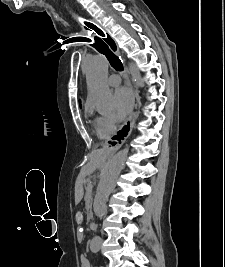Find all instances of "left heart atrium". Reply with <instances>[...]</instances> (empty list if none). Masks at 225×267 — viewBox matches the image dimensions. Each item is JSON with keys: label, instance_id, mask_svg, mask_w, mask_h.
<instances>
[{"label": "left heart atrium", "instance_id": "1", "mask_svg": "<svg viewBox=\"0 0 225 267\" xmlns=\"http://www.w3.org/2000/svg\"><path fill=\"white\" fill-rule=\"evenodd\" d=\"M115 115L118 119H123L128 115L132 108L133 96L126 87H120L114 92Z\"/></svg>", "mask_w": 225, "mask_h": 267}]
</instances>
